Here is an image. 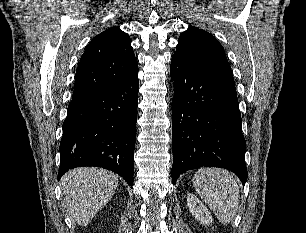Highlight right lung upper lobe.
<instances>
[{
  "label": "right lung upper lobe",
  "instance_id": "right-lung-upper-lobe-1",
  "mask_svg": "<svg viewBox=\"0 0 306 233\" xmlns=\"http://www.w3.org/2000/svg\"><path fill=\"white\" fill-rule=\"evenodd\" d=\"M137 67L129 36L119 27L108 28L91 40L81 56L72 99L107 90Z\"/></svg>",
  "mask_w": 306,
  "mask_h": 233
}]
</instances>
